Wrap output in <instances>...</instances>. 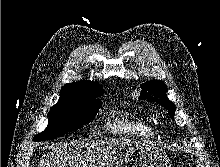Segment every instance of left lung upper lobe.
<instances>
[{
  "label": "left lung upper lobe",
  "mask_w": 220,
  "mask_h": 167,
  "mask_svg": "<svg viewBox=\"0 0 220 167\" xmlns=\"http://www.w3.org/2000/svg\"><path fill=\"white\" fill-rule=\"evenodd\" d=\"M167 86L160 80H152L141 85V95L139 99L147 100L148 102H156L157 104L164 106L174 119L175 106L167 98Z\"/></svg>",
  "instance_id": "1"
}]
</instances>
